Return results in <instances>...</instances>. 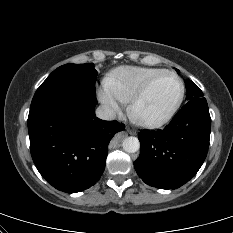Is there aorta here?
<instances>
[{
	"mask_svg": "<svg viewBox=\"0 0 233 233\" xmlns=\"http://www.w3.org/2000/svg\"><path fill=\"white\" fill-rule=\"evenodd\" d=\"M122 147H123L124 151H126L128 153H135L140 148V142H139L138 138L130 136V137H127L126 139H124V141L122 143Z\"/></svg>",
	"mask_w": 233,
	"mask_h": 233,
	"instance_id": "obj_1",
	"label": "aorta"
}]
</instances>
